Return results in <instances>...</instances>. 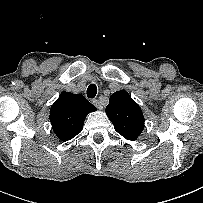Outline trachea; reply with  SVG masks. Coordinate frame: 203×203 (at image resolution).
I'll use <instances>...</instances> for the list:
<instances>
[{
  "mask_svg": "<svg viewBox=\"0 0 203 203\" xmlns=\"http://www.w3.org/2000/svg\"><path fill=\"white\" fill-rule=\"evenodd\" d=\"M97 94V87L95 84L89 85L87 88V97L88 98H94Z\"/></svg>",
  "mask_w": 203,
  "mask_h": 203,
  "instance_id": "3493384b",
  "label": "trachea"
}]
</instances>
